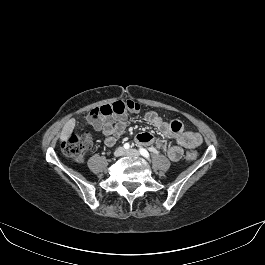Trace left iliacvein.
<instances>
[{
	"instance_id": "left-iliac-vein-1",
	"label": "left iliac vein",
	"mask_w": 265,
	"mask_h": 265,
	"mask_svg": "<svg viewBox=\"0 0 265 265\" xmlns=\"http://www.w3.org/2000/svg\"><path fill=\"white\" fill-rule=\"evenodd\" d=\"M125 155L139 157L140 153L135 149H129L125 151Z\"/></svg>"
}]
</instances>
